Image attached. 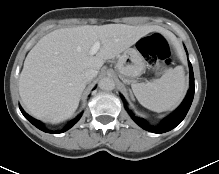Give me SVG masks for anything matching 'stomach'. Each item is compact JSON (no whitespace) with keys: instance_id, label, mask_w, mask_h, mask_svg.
I'll use <instances>...</instances> for the list:
<instances>
[{"instance_id":"stomach-1","label":"stomach","mask_w":219,"mask_h":174,"mask_svg":"<svg viewBox=\"0 0 219 174\" xmlns=\"http://www.w3.org/2000/svg\"><path fill=\"white\" fill-rule=\"evenodd\" d=\"M116 69L124 82H132L145 70V61L137 48H128L119 56Z\"/></svg>"}]
</instances>
